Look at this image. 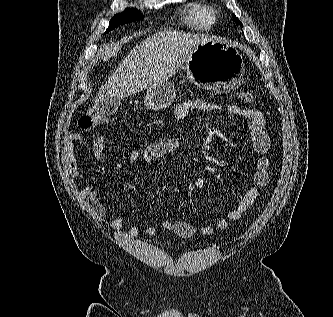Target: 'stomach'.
<instances>
[{"mask_svg":"<svg viewBox=\"0 0 333 317\" xmlns=\"http://www.w3.org/2000/svg\"><path fill=\"white\" fill-rule=\"evenodd\" d=\"M188 79L197 87L216 93H228L242 83L245 63L238 50L227 41L212 39L199 45L186 61ZM176 90L168 79L149 87L144 98L150 110L167 108Z\"/></svg>","mask_w":333,"mask_h":317,"instance_id":"obj_1","label":"stomach"}]
</instances>
